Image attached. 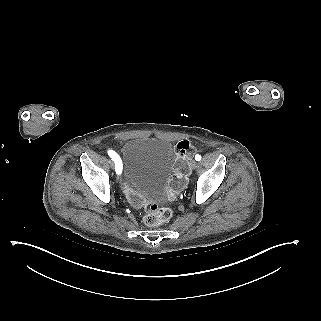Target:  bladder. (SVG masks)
Masks as SVG:
<instances>
[{"instance_id":"bladder-1","label":"bladder","mask_w":321,"mask_h":321,"mask_svg":"<svg viewBox=\"0 0 321 321\" xmlns=\"http://www.w3.org/2000/svg\"><path fill=\"white\" fill-rule=\"evenodd\" d=\"M120 160V181L144 203L165 199L176 161V151L166 140L137 137L125 141Z\"/></svg>"}]
</instances>
